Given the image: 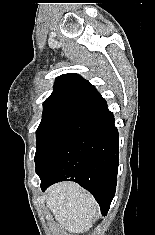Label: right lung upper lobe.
Masks as SVG:
<instances>
[{
	"label": "right lung upper lobe",
	"mask_w": 155,
	"mask_h": 235,
	"mask_svg": "<svg viewBox=\"0 0 155 235\" xmlns=\"http://www.w3.org/2000/svg\"><path fill=\"white\" fill-rule=\"evenodd\" d=\"M91 88L94 86L75 73L57 77L54 91L43 103V113L66 114L91 124L97 122L94 104L89 98Z\"/></svg>",
	"instance_id": "obj_1"
}]
</instances>
